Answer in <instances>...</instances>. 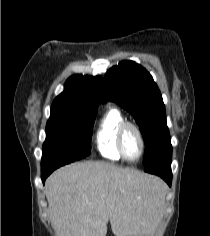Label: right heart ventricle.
I'll list each match as a JSON object with an SVG mask.
<instances>
[{
    "mask_svg": "<svg viewBox=\"0 0 210 236\" xmlns=\"http://www.w3.org/2000/svg\"><path fill=\"white\" fill-rule=\"evenodd\" d=\"M124 121L122 113L112 106L101 115L96 128L95 145L104 158L114 161L122 159L117 150L116 136L118 127Z\"/></svg>",
    "mask_w": 210,
    "mask_h": 236,
    "instance_id": "e07e8e85",
    "label": "right heart ventricle"
}]
</instances>
